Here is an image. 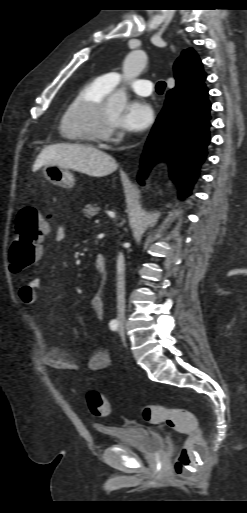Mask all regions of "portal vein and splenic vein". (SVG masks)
<instances>
[{
    "label": "portal vein and splenic vein",
    "instance_id": "1",
    "mask_svg": "<svg viewBox=\"0 0 247 513\" xmlns=\"http://www.w3.org/2000/svg\"><path fill=\"white\" fill-rule=\"evenodd\" d=\"M95 222H96V223H99V220H96Z\"/></svg>",
    "mask_w": 247,
    "mask_h": 513
}]
</instances>
